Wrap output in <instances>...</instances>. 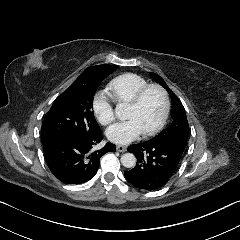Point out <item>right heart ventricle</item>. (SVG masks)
Instances as JSON below:
<instances>
[{
	"instance_id": "obj_1",
	"label": "right heart ventricle",
	"mask_w": 240,
	"mask_h": 240,
	"mask_svg": "<svg viewBox=\"0 0 240 240\" xmlns=\"http://www.w3.org/2000/svg\"><path fill=\"white\" fill-rule=\"evenodd\" d=\"M148 84L140 75L125 73L112 79L106 86V92L110 100L121 107L130 103L137 91Z\"/></svg>"
}]
</instances>
